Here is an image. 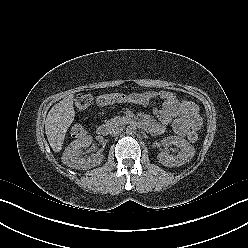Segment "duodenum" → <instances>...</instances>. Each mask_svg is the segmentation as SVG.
Here are the masks:
<instances>
[{
  "instance_id": "obj_1",
  "label": "duodenum",
  "mask_w": 248,
  "mask_h": 248,
  "mask_svg": "<svg viewBox=\"0 0 248 248\" xmlns=\"http://www.w3.org/2000/svg\"><path fill=\"white\" fill-rule=\"evenodd\" d=\"M97 135L98 136H101V137H105L108 135L109 133V130H108V127L106 125H100L98 128H97Z\"/></svg>"
}]
</instances>
